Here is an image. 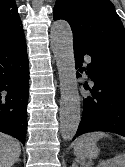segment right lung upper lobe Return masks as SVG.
<instances>
[{
	"label": "right lung upper lobe",
	"instance_id": "obj_1",
	"mask_svg": "<svg viewBox=\"0 0 125 167\" xmlns=\"http://www.w3.org/2000/svg\"><path fill=\"white\" fill-rule=\"evenodd\" d=\"M23 33L14 0H0V39Z\"/></svg>",
	"mask_w": 125,
	"mask_h": 167
}]
</instances>
